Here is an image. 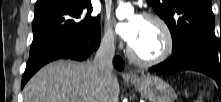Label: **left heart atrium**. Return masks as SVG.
I'll return each instance as SVG.
<instances>
[{"label": "left heart atrium", "instance_id": "1", "mask_svg": "<svg viewBox=\"0 0 221 102\" xmlns=\"http://www.w3.org/2000/svg\"><path fill=\"white\" fill-rule=\"evenodd\" d=\"M141 19L142 18L140 16H134L128 21L120 22L117 24L118 33L129 44L134 42L137 38Z\"/></svg>", "mask_w": 221, "mask_h": 102}]
</instances>
